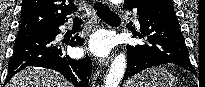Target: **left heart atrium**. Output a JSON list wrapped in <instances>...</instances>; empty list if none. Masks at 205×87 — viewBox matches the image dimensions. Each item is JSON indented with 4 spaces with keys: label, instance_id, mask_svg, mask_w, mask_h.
Returning <instances> with one entry per match:
<instances>
[{
    "label": "left heart atrium",
    "instance_id": "1",
    "mask_svg": "<svg viewBox=\"0 0 205 87\" xmlns=\"http://www.w3.org/2000/svg\"><path fill=\"white\" fill-rule=\"evenodd\" d=\"M109 46L110 44L104 36L96 35L91 40L90 50L97 55H103L108 51Z\"/></svg>",
    "mask_w": 205,
    "mask_h": 87
}]
</instances>
